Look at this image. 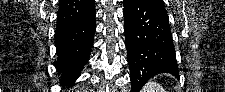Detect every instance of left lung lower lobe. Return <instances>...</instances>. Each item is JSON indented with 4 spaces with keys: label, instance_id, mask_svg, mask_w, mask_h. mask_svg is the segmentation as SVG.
Returning a JSON list of instances; mask_svg holds the SVG:
<instances>
[{
    "label": "left lung lower lobe",
    "instance_id": "obj_1",
    "mask_svg": "<svg viewBox=\"0 0 225 92\" xmlns=\"http://www.w3.org/2000/svg\"><path fill=\"white\" fill-rule=\"evenodd\" d=\"M125 37L131 92L152 77L169 73L179 78L167 12L145 0H124Z\"/></svg>",
    "mask_w": 225,
    "mask_h": 92
}]
</instances>
